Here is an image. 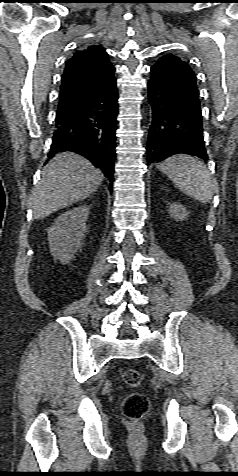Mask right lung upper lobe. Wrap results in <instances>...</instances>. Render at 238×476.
Returning a JSON list of instances; mask_svg holds the SVG:
<instances>
[{"instance_id": "1", "label": "right lung upper lobe", "mask_w": 238, "mask_h": 476, "mask_svg": "<svg viewBox=\"0 0 238 476\" xmlns=\"http://www.w3.org/2000/svg\"><path fill=\"white\" fill-rule=\"evenodd\" d=\"M114 71L101 46L75 52L65 65L57 111L72 109L96 96L115 80Z\"/></svg>"}]
</instances>
